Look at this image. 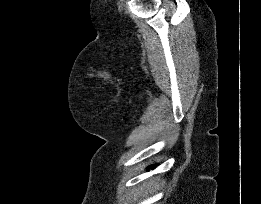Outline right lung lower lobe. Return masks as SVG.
Segmentation results:
<instances>
[{
  "instance_id": "1",
  "label": "right lung lower lobe",
  "mask_w": 261,
  "mask_h": 204,
  "mask_svg": "<svg viewBox=\"0 0 261 204\" xmlns=\"http://www.w3.org/2000/svg\"><path fill=\"white\" fill-rule=\"evenodd\" d=\"M153 168H155V166H149V167H148V169H153Z\"/></svg>"
}]
</instances>
